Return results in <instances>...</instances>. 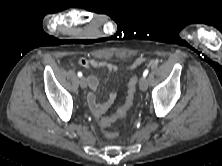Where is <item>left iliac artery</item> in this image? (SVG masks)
Instances as JSON below:
<instances>
[{
	"mask_svg": "<svg viewBox=\"0 0 222 166\" xmlns=\"http://www.w3.org/2000/svg\"><path fill=\"white\" fill-rule=\"evenodd\" d=\"M149 73V69H145V71L143 72V77H146Z\"/></svg>",
	"mask_w": 222,
	"mask_h": 166,
	"instance_id": "1",
	"label": "left iliac artery"
}]
</instances>
